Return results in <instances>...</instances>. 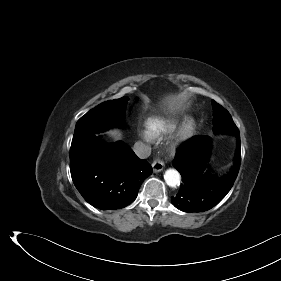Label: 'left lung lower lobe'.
I'll list each match as a JSON object with an SVG mask.
<instances>
[{"instance_id":"left-lung-lower-lobe-1","label":"left lung lower lobe","mask_w":281,"mask_h":281,"mask_svg":"<svg viewBox=\"0 0 281 281\" xmlns=\"http://www.w3.org/2000/svg\"><path fill=\"white\" fill-rule=\"evenodd\" d=\"M234 135L237 137L235 164L222 178L213 177L204 171L210 152L208 136L193 137L182 146L173 161L183 182L177 195L172 197V203L176 208L184 212L206 211L227 195L234 184L241 163L239 130Z\"/></svg>"}]
</instances>
